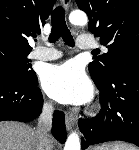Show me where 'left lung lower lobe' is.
I'll return each mask as SVG.
<instances>
[{
  "mask_svg": "<svg viewBox=\"0 0 139 150\" xmlns=\"http://www.w3.org/2000/svg\"><path fill=\"white\" fill-rule=\"evenodd\" d=\"M92 79L100 91L102 109L95 118L79 121L82 149L114 140L139 147V52L123 59L107 84Z\"/></svg>",
  "mask_w": 139,
  "mask_h": 150,
  "instance_id": "left-lung-lower-lobe-1",
  "label": "left lung lower lobe"
}]
</instances>
